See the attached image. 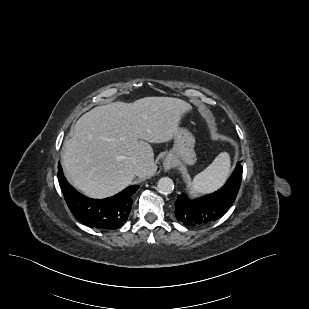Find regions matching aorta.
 Returning a JSON list of instances; mask_svg holds the SVG:
<instances>
[{
    "label": "aorta",
    "instance_id": "obj_1",
    "mask_svg": "<svg viewBox=\"0 0 309 309\" xmlns=\"http://www.w3.org/2000/svg\"><path fill=\"white\" fill-rule=\"evenodd\" d=\"M157 189L161 194H170L174 190V183L169 177H162L159 179Z\"/></svg>",
    "mask_w": 309,
    "mask_h": 309
}]
</instances>
